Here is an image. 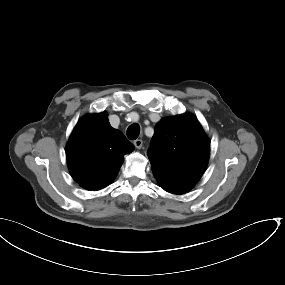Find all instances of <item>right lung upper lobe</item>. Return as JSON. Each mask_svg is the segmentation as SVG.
Returning a JSON list of instances; mask_svg holds the SVG:
<instances>
[{"label": "right lung upper lobe", "mask_w": 285, "mask_h": 285, "mask_svg": "<svg viewBox=\"0 0 285 285\" xmlns=\"http://www.w3.org/2000/svg\"><path fill=\"white\" fill-rule=\"evenodd\" d=\"M134 150L123 133L111 127L107 114L84 116L66 146L73 179L87 190H100L116 177L124 155Z\"/></svg>", "instance_id": "right-lung-upper-lobe-1"}]
</instances>
